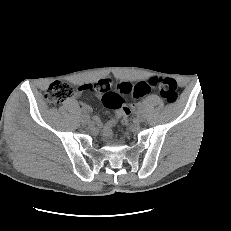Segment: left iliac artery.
<instances>
[{"mask_svg": "<svg viewBox=\"0 0 231 231\" xmlns=\"http://www.w3.org/2000/svg\"><path fill=\"white\" fill-rule=\"evenodd\" d=\"M135 109H136L137 111H143V110H144V105H143V104H137V105L135 106Z\"/></svg>", "mask_w": 231, "mask_h": 231, "instance_id": "obj_1", "label": "left iliac artery"}]
</instances>
